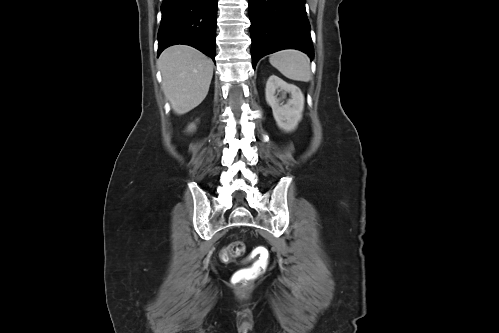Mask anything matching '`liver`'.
<instances>
[{
	"label": "liver",
	"mask_w": 499,
	"mask_h": 333,
	"mask_svg": "<svg viewBox=\"0 0 499 333\" xmlns=\"http://www.w3.org/2000/svg\"><path fill=\"white\" fill-rule=\"evenodd\" d=\"M162 89L173 111L183 115L206 97L213 76V62L188 45L165 49L158 59Z\"/></svg>",
	"instance_id": "liver-1"
}]
</instances>
